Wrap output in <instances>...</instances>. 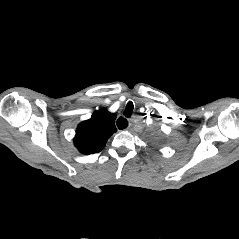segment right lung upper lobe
<instances>
[{
    "mask_svg": "<svg viewBox=\"0 0 239 239\" xmlns=\"http://www.w3.org/2000/svg\"><path fill=\"white\" fill-rule=\"evenodd\" d=\"M116 114L105 109L95 111L91 118L79 124L74 143L82 154L100 152L108 138L117 131L115 127Z\"/></svg>",
    "mask_w": 239,
    "mask_h": 239,
    "instance_id": "right-lung-upper-lobe-1",
    "label": "right lung upper lobe"
}]
</instances>
